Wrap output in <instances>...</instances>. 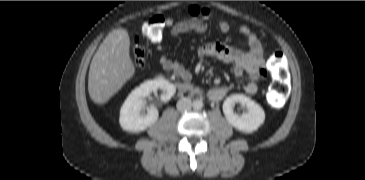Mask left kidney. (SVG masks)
<instances>
[{
  "instance_id": "left-kidney-1",
  "label": "left kidney",
  "mask_w": 365,
  "mask_h": 180,
  "mask_svg": "<svg viewBox=\"0 0 365 180\" xmlns=\"http://www.w3.org/2000/svg\"><path fill=\"white\" fill-rule=\"evenodd\" d=\"M236 103L246 107L247 111L241 115L236 114L233 110ZM223 112L227 121L233 127L245 133L256 131L265 120V113L262 107L242 94L229 96L223 103Z\"/></svg>"
}]
</instances>
